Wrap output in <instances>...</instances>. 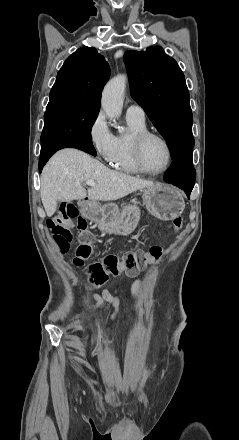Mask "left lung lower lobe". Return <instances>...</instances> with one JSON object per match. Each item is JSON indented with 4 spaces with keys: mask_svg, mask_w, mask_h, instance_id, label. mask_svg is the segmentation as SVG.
<instances>
[{
    "mask_svg": "<svg viewBox=\"0 0 239 440\" xmlns=\"http://www.w3.org/2000/svg\"><path fill=\"white\" fill-rule=\"evenodd\" d=\"M173 159V163L164 180L183 189L189 198L196 177V171L192 162V149L183 151Z\"/></svg>",
    "mask_w": 239,
    "mask_h": 440,
    "instance_id": "0a47b994",
    "label": "left lung lower lobe"
}]
</instances>
